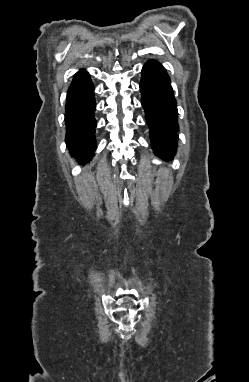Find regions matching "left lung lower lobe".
Listing matches in <instances>:
<instances>
[{"label":"left lung lower lobe","instance_id":"1","mask_svg":"<svg viewBox=\"0 0 249 382\" xmlns=\"http://www.w3.org/2000/svg\"><path fill=\"white\" fill-rule=\"evenodd\" d=\"M140 91L152 148L157 156L168 161L176 152L178 112L170 77L156 60L143 66Z\"/></svg>","mask_w":249,"mask_h":382}]
</instances>
